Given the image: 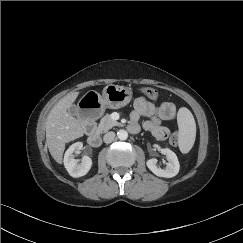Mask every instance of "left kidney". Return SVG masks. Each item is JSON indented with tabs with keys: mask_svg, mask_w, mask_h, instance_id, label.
Here are the masks:
<instances>
[{
	"mask_svg": "<svg viewBox=\"0 0 243 243\" xmlns=\"http://www.w3.org/2000/svg\"><path fill=\"white\" fill-rule=\"evenodd\" d=\"M156 148L160 149L158 145H154ZM163 155H166L168 162L166 163V167L164 169L157 167V159L152 158L149 159L146 163L147 167L157 176L164 178H171L178 174L179 172V161L176 154L168 149L162 148L160 149Z\"/></svg>",
	"mask_w": 243,
	"mask_h": 243,
	"instance_id": "5707ae66",
	"label": "left kidney"
}]
</instances>
